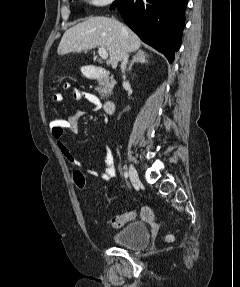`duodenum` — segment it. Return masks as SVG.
<instances>
[{"instance_id":"obj_1","label":"duodenum","mask_w":240,"mask_h":287,"mask_svg":"<svg viewBox=\"0 0 240 287\" xmlns=\"http://www.w3.org/2000/svg\"><path fill=\"white\" fill-rule=\"evenodd\" d=\"M85 71V76L88 79L95 80V79H100L104 78L108 75V71L105 68H101L95 65H85L84 67ZM115 109V102L112 100H106L104 102V111L107 114H112Z\"/></svg>"}]
</instances>
